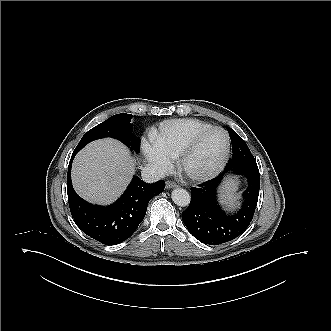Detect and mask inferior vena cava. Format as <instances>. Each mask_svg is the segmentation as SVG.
<instances>
[{"mask_svg": "<svg viewBox=\"0 0 331 331\" xmlns=\"http://www.w3.org/2000/svg\"><path fill=\"white\" fill-rule=\"evenodd\" d=\"M142 180L147 183H155L165 177L161 167L154 164H146L141 171Z\"/></svg>", "mask_w": 331, "mask_h": 331, "instance_id": "inferior-vena-cava-1", "label": "inferior vena cava"}]
</instances>
